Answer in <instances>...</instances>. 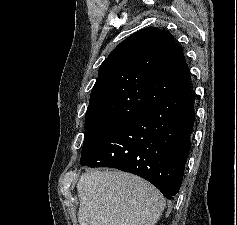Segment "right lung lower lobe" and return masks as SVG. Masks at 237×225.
Returning <instances> with one entry per match:
<instances>
[{
  "instance_id": "1",
  "label": "right lung lower lobe",
  "mask_w": 237,
  "mask_h": 225,
  "mask_svg": "<svg viewBox=\"0 0 237 225\" xmlns=\"http://www.w3.org/2000/svg\"><path fill=\"white\" fill-rule=\"evenodd\" d=\"M194 100L190 88L145 108L81 159V165L136 174L172 199L180 189L191 146Z\"/></svg>"
}]
</instances>
